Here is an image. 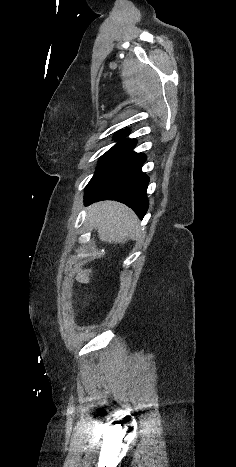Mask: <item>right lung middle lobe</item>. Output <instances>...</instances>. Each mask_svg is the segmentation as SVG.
Wrapping results in <instances>:
<instances>
[{
    "label": "right lung middle lobe",
    "mask_w": 236,
    "mask_h": 467,
    "mask_svg": "<svg viewBox=\"0 0 236 467\" xmlns=\"http://www.w3.org/2000/svg\"><path fill=\"white\" fill-rule=\"evenodd\" d=\"M129 134L128 131L126 130H121L116 133L115 139L120 140L115 146H113L110 150H108L101 158L99 161L100 166L102 163H104L106 160H108L111 156H113L115 153H117L120 149H122L124 146L129 144L130 142L134 141V139H124Z\"/></svg>",
    "instance_id": "obj_1"
}]
</instances>
